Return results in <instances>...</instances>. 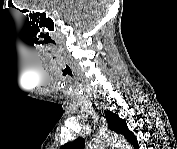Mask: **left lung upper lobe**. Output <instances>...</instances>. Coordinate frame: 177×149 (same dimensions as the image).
<instances>
[{
  "label": "left lung upper lobe",
  "mask_w": 177,
  "mask_h": 149,
  "mask_svg": "<svg viewBox=\"0 0 177 149\" xmlns=\"http://www.w3.org/2000/svg\"><path fill=\"white\" fill-rule=\"evenodd\" d=\"M108 128L119 134L124 135L136 148L138 146L137 140L134 134L128 129L126 121L119 118L113 112L107 111L105 113ZM85 140L83 138H77L72 142H68L62 146L63 149H83Z\"/></svg>",
  "instance_id": "obj_1"
}]
</instances>
